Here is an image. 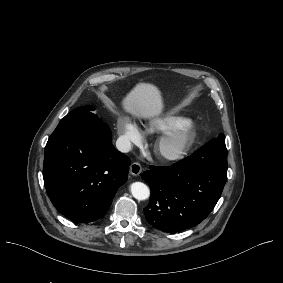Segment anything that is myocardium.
I'll return each instance as SVG.
<instances>
[{"label": "myocardium", "instance_id": "f54148a6", "mask_svg": "<svg viewBox=\"0 0 283 283\" xmlns=\"http://www.w3.org/2000/svg\"><path fill=\"white\" fill-rule=\"evenodd\" d=\"M195 139V128L191 121L184 120L175 128L164 131L157 138V144L175 145L176 150L162 158L165 165H174L181 162L189 154Z\"/></svg>", "mask_w": 283, "mask_h": 283}]
</instances>
